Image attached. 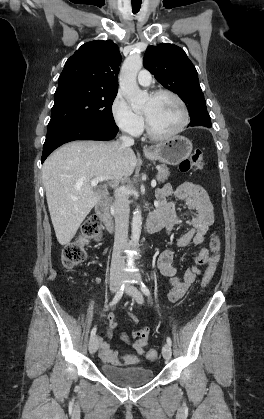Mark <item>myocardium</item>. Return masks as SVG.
Segmentation results:
<instances>
[{
	"instance_id": "f54148a6",
	"label": "myocardium",
	"mask_w": 264,
	"mask_h": 419,
	"mask_svg": "<svg viewBox=\"0 0 264 419\" xmlns=\"http://www.w3.org/2000/svg\"><path fill=\"white\" fill-rule=\"evenodd\" d=\"M163 95H167V96L172 97L178 103V105L181 109V113H182V120H181L179 126L176 129H174L173 131H171L169 133H166V134H159V133H156L152 129L147 117L144 115L145 128H146V132H147L148 136L151 139L158 140V141L169 140V139L175 137L176 135H178L179 133H181L184 130V128L187 126V124L189 122V112H188L187 106H186L185 102L183 101V99L177 93H175L171 90H168V89H158V90H155V91L151 92L150 97L151 98H157V97L163 96Z\"/></svg>"
}]
</instances>
